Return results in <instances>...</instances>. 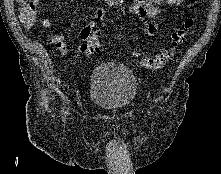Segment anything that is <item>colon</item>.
Segmentation results:
<instances>
[{
	"instance_id": "colon-1",
	"label": "colon",
	"mask_w": 221,
	"mask_h": 174,
	"mask_svg": "<svg viewBox=\"0 0 221 174\" xmlns=\"http://www.w3.org/2000/svg\"><path fill=\"white\" fill-rule=\"evenodd\" d=\"M20 5L19 17L25 27H31L37 19V5L39 0H17ZM197 0H191V3H196ZM193 26V19L188 18L183 25L172 35V46L164 49L153 55H140L139 52H134L136 57H140L139 65L148 70H158L164 67L175 54L176 47L183 42L187 32ZM82 44L80 46L81 53L92 55L98 51L100 47L99 39L100 32L96 29L81 31Z\"/></svg>"
}]
</instances>
